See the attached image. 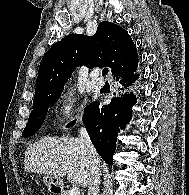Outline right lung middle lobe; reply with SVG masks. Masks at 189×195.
<instances>
[{
  "label": "right lung middle lobe",
  "mask_w": 189,
  "mask_h": 195,
  "mask_svg": "<svg viewBox=\"0 0 189 195\" xmlns=\"http://www.w3.org/2000/svg\"><path fill=\"white\" fill-rule=\"evenodd\" d=\"M61 92L33 103V110L29 116L28 123L22 133L23 137L34 135L42 125L49 107H52L60 97Z\"/></svg>",
  "instance_id": "1"
}]
</instances>
